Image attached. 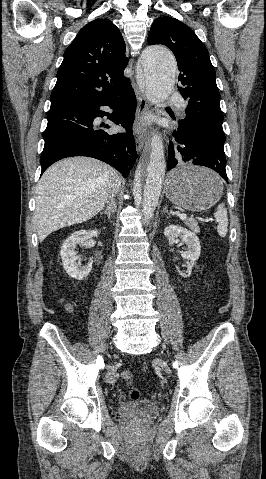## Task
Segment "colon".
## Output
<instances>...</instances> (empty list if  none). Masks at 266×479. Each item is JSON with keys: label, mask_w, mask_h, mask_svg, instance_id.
Returning a JSON list of instances; mask_svg holds the SVG:
<instances>
[{"label": "colon", "mask_w": 266, "mask_h": 479, "mask_svg": "<svg viewBox=\"0 0 266 479\" xmlns=\"http://www.w3.org/2000/svg\"><path fill=\"white\" fill-rule=\"evenodd\" d=\"M121 378L127 382V383H131L132 379H133V373L130 371V370H124L121 372ZM130 397L131 399L133 400H138L139 397H140V393L138 390L136 389H132L131 390V393H130Z\"/></svg>", "instance_id": "colon-1"}]
</instances>
